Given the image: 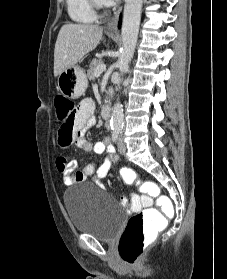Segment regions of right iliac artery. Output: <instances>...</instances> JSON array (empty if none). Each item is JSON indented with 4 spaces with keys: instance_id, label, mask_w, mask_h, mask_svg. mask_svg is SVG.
<instances>
[{
    "instance_id": "right-iliac-artery-1",
    "label": "right iliac artery",
    "mask_w": 227,
    "mask_h": 279,
    "mask_svg": "<svg viewBox=\"0 0 227 279\" xmlns=\"http://www.w3.org/2000/svg\"><path fill=\"white\" fill-rule=\"evenodd\" d=\"M119 135H120V131H114L113 133H112V140H113V142H117V140H118V138H119Z\"/></svg>"
}]
</instances>
